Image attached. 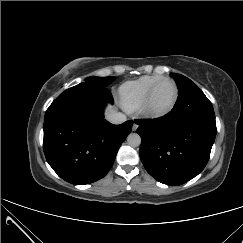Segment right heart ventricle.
<instances>
[{"mask_svg":"<svg viewBox=\"0 0 243 243\" xmlns=\"http://www.w3.org/2000/svg\"><path fill=\"white\" fill-rule=\"evenodd\" d=\"M163 78L161 75H145L122 84L118 92L123 108L129 112L140 109L150 89Z\"/></svg>","mask_w":243,"mask_h":243,"instance_id":"right-heart-ventricle-1","label":"right heart ventricle"}]
</instances>
